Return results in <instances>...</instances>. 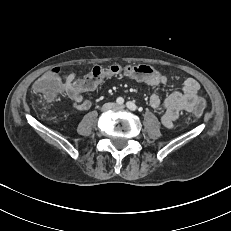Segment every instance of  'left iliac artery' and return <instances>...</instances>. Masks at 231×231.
I'll return each instance as SVG.
<instances>
[{
	"instance_id": "obj_1",
	"label": "left iliac artery",
	"mask_w": 231,
	"mask_h": 231,
	"mask_svg": "<svg viewBox=\"0 0 231 231\" xmlns=\"http://www.w3.org/2000/svg\"><path fill=\"white\" fill-rule=\"evenodd\" d=\"M126 106H127L130 110H132V111H136V110H137V106H136L133 102L128 101V102L126 103Z\"/></svg>"
}]
</instances>
